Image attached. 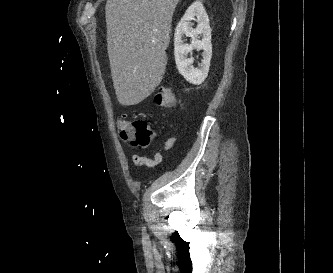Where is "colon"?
<instances>
[{
	"label": "colon",
	"instance_id": "1",
	"mask_svg": "<svg viewBox=\"0 0 333 273\" xmlns=\"http://www.w3.org/2000/svg\"><path fill=\"white\" fill-rule=\"evenodd\" d=\"M155 102L163 108H172L175 104L173 90L161 88L155 95ZM117 130L120 137L134 147H147L153 140V131L143 119L128 120L122 115L117 121Z\"/></svg>",
	"mask_w": 333,
	"mask_h": 273
}]
</instances>
